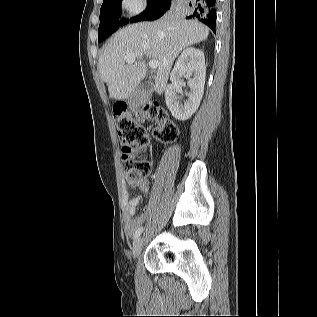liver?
<instances>
[{"label":"liver","mask_w":317,"mask_h":317,"mask_svg":"<svg viewBox=\"0 0 317 317\" xmlns=\"http://www.w3.org/2000/svg\"><path fill=\"white\" fill-rule=\"evenodd\" d=\"M208 35L207 26L197 20H185L178 14L119 30L99 57V72L108 85L109 97L127 99L137 89L147 73L144 56L158 62L154 89L161 95L175 58L188 46L206 40ZM130 53L136 55L133 63L124 59Z\"/></svg>","instance_id":"liver-1"}]
</instances>
